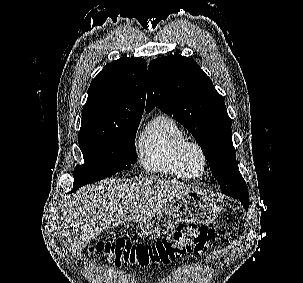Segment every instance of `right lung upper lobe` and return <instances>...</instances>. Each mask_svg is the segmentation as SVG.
<instances>
[{
    "label": "right lung upper lobe",
    "mask_w": 303,
    "mask_h": 283,
    "mask_svg": "<svg viewBox=\"0 0 303 283\" xmlns=\"http://www.w3.org/2000/svg\"><path fill=\"white\" fill-rule=\"evenodd\" d=\"M147 63L121 57L92 80L82 113V127L118 126L141 120L146 98Z\"/></svg>",
    "instance_id": "right-lung-upper-lobe-1"
}]
</instances>
